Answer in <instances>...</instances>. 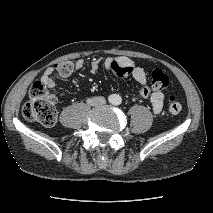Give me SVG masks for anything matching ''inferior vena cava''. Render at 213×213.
Here are the masks:
<instances>
[{"label": "inferior vena cava", "instance_id": "602c4592", "mask_svg": "<svg viewBox=\"0 0 213 213\" xmlns=\"http://www.w3.org/2000/svg\"><path fill=\"white\" fill-rule=\"evenodd\" d=\"M87 103L91 106H102L106 103V99L102 96L87 99Z\"/></svg>", "mask_w": 213, "mask_h": 213}]
</instances>
